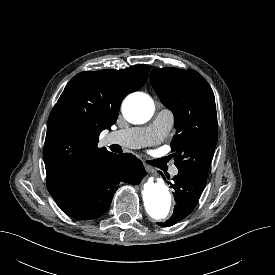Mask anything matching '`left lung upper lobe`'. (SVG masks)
<instances>
[{
	"label": "left lung upper lobe",
	"instance_id": "1",
	"mask_svg": "<svg viewBox=\"0 0 275 275\" xmlns=\"http://www.w3.org/2000/svg\"><path fill=\"white\" fill-rule=\"evenodd\" d=\"M150 81L161 102L174 114L177 134L171 142V156L176 167L207 177L218 135L210 85L192 69H153Z\"/></svg>",
	"mask_w": 275,
	"mask_h": 275
}]
</instances>
